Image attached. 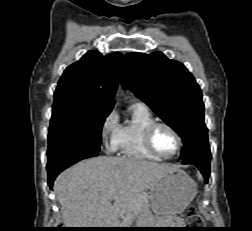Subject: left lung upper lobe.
<instances>
[{"mask_svg":"<svg viewBox=\"0 0 252 231\" xmlns=\"http://www.w3.org/2000/svg\"><path fill=\"white\" fill-rule=\"evenodd\" d=\"M121 84L182 137L181 160L211 154L201 89L182 63L161 52L129 53L124 57Z\"/></svg>","mask_w":252,"mask_h":231,"instance_id":"5c2ea615","label":"left lung upper lobe"}]
</instances>
